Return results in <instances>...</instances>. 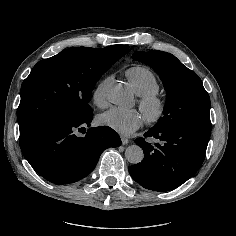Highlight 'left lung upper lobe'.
Wrapping results in <instances>:
<instances>
[{
	"label": "left lung upper lobe",
	"mask_w": 236,
	"mask_h": 236,
	"mask_svg": "<svg viewBox=\"0 0 236 236\" xmlns=\"http://www.w3.org/2000/svg\"><path fill=\"white\" fill-rule=\"evenodd\" d=\"M133 59L150 65L167 91L164 116L153 129L198 126L211 129L210 98L201 79L175 56L158 50L137 51Z\"/></svg>",
	"instance_id": "left-lung-upper-lobe-1"
}]
</instances>
